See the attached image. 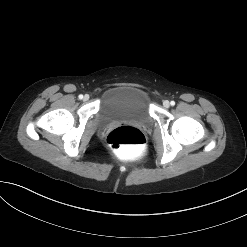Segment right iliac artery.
<instances>
[{
	"mask_svg": "<svg viewBox=\"0 0 247 247\" xmlns=\"http://www.w3.org/2000/svg\"><path fill=\"white\" fill-rule=\"evenodd\" d=\"M78 98H79L80 100L83 99V95L80 94V95L78 96Z\"/></svg>",
	"mask_w": 247,
	"mask_h": 247,
	"instance_id": "obj_1",
	"label": "right iliac artery"
}]
</instances>
